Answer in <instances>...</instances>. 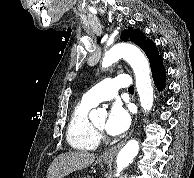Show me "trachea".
Returning a JSON list of instances; mask_svg holds the SVG:
<instances>
[{"label":"trachea","mask_w":194,"mask_h":178,"mask_svg":"<svg viewBox=\"0 0 194 178\" xmlns=\"http://www.w3.org/2000/svg\"><path fill=\"white\" fill-rule=\"evenodd\" d=\"M128 91H129V92H134V87H133V86H130V87L128 88Z\"/></svg>","instance_id":"1"}]
</instances>
